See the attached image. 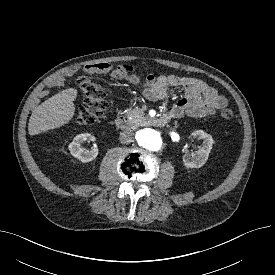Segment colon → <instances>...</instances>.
Wrapping results in <instances>:
<instances>
[{"label": "colon", "instance_id": "obj_1", "mask_svg": "<svg viewBox=\"0 0 275 275\" xmlns=\"http://www.w3.org/2000/svg\"><path fill=\"white\" fill-rule=\"evenodd\" d=\"M116 70H121L122 65L113 66ZM78 84L84 95L80 105L76 121L79 125H91L95 123L108 109V100L104 90L90 78H82ZM223 119L229 120L233 117V110L229 107L223 108L220 112Z\"/></svg>", "mask_w": 275, "mask_h": 275}]
</instances>
